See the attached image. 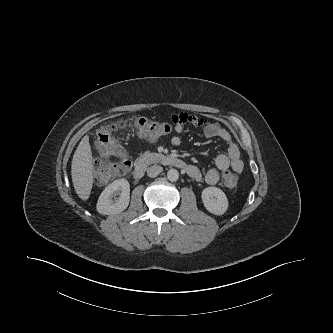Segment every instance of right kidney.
Listing matches in <instances>:
<instances>
[{"instance_id": "right-kidney-1", "label": "right kidney", "mask_w": 333, "mask_h": 333, "mask_svg": "<svg viewBox=\"0 0 333 333\" xmlns=\"http://www.w3.org/2000/svg\"><path fill=\"white\" fill-rule=\"evenodd\" d=\"M119 195V197H116ZM114 198V199H113ZM130 201V185L126 179H119L108 185L100 194L96 209L103 215L124 211Z\"/></svg>"}]
</instances>
